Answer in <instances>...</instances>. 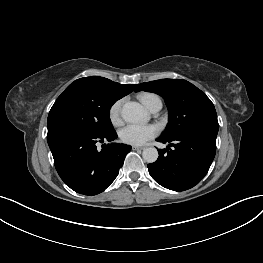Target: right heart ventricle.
Returning a JSON list of instances; mask_svg holds the SVG:
<instances>
[{"mask_svg": "<svg viewBox=\"0 0 263 263\" xmlns=\"http://www.w3.org/2000/svg\"><path fill=\"white\" fill-rule=\"evenodd\" d=\"M138 99L149 110L159 97L154 93L142 92L138 95Z\"/></svg>", "mask_w": 263, "mask_h": 263, "instance_id": "obj_1", "label": "right heart ventricle"}]
</instances>
